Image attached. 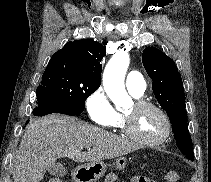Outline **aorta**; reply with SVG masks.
Returning a JSON list of instances; mask_svg holds the SVG:
<instances>
[{
  "label": "aorta",
  "instance_id": "obj_1",
  "mask_svg": "<svg viewBox=\"0 0 211 182\" xmlns=\"http://www.w3.org/2000/svg\"><path fill=\"white\" fill-rule=\"evenodd\" d=\"M129 55L126 52H117L112 56L105 67L103 86L106 94L117 108L130 102L124 79L129 66Z\"/></svg>",
  "mask_w": 211,
  "mask_h": 182
}]
</instances>
